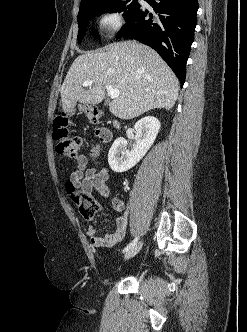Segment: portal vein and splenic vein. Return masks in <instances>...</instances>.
Listing matches in <instances>:
<instances>
[{
  "label": "portal vein and splenic vein",
  "mask_w": 247,
  "mask_h": 332,
  "mask_svg": "<svg viewBox=\"0 0 247 332\" xmlns=\"http://www.w3.org/2000/svg\"><path fill=\"white\" fill-rule=\"evenodd\" d=\"M93 83V80H88L82 83V86L86 87V86H91ZM106 90L108 92V95L111 99H115L119 96L120 91L118 89H115L111 86H106Z\"/></svg>",
  "instance_id": "obj_1"
}]
</instances>
